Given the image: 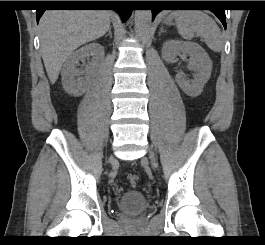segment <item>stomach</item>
<instances>
[{"label":"stomach","mask_w":265,"mask_h":245,"mask_svg":"<svg viewBox=\"0 0 265 245\" xmlns=\"http://www.w3.org/2000/svg\"><path fill=\"white\" fill-rule=\"evenodd\" d=\"M172 18L170 16H168L167 18H165L164 23L165 24H171Z\"/></svg>","instance_id":"stomach-1"}]
</instances>
